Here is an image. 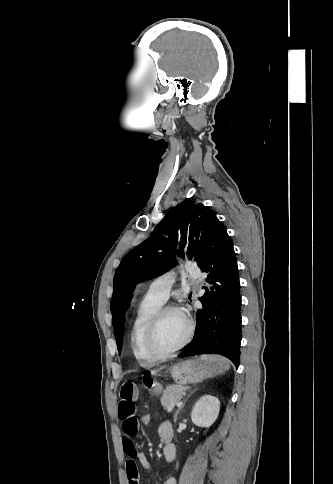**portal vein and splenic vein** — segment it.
I'll list each match as a JSON object with an SVG mask.
<instances>
[{"label": "portal vein and splenic vein", "instance_id": "18ae733b", "mask_svg": "<svg viewBox=\"0 0 333 484\" xmlns=\"http://www.w3.org/2000/svg\"><path fill=\"white\" fill-rule=\"evenodd\" d=\"M181 405V403H177L176 406L179 407Z\"/></svg>", "mask_w": 333, "mask_h": 484}]
</instances>
